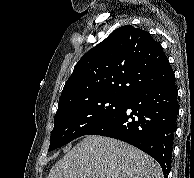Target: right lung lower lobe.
<instances>
[{
    "mask_svg": "<svg viewBox=\"0 0 194 178\" xmlns=\"http://www.w3.org/2000/svg\"><path fill=\"white\" fill-rule=\"evenodd\" d=\"M177 96L173 75L133 93L120 110L87 134L112 137L141 149L158 161L167 178L179 112Z\"/></svg>",
    "mask_w": 194,
    "mask_h": 178,
    "instance_id": "obj_1",
    "label": "right lung lower lobe"
}]
</instances>
